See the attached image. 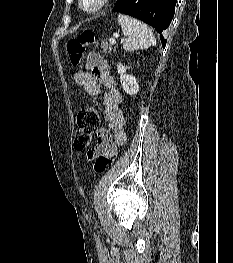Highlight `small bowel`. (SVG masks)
I'll return each mask as SVG.
<instances>
[{"mask_svg": "<svg viewBox=\"0 0 233 263\" xmlns=\"http://www.w3.org/2000/svg\"><path fill=\"white\" fill-rule=\"evenodd\" d=\"M86 69L91 73L76 72L74 81L82 86L91 96L102 95L103 116L109 129L102 128L97 134V144L90 151V156H115L117 149L126 143L124 130L125 117L120 107L122 95L110 74L107 61L98 53L91 52L86 61Z\"/></svg>", "mask_w": 233, "mask_h": 263, "instance_id": "c3829d8e", "label": "small bowel"}]
</instances>
